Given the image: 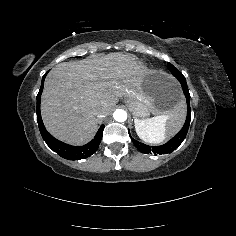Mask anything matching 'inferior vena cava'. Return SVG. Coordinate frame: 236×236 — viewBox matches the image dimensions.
<instances>
[{
    "mask_svg": "<svg viewBox=\"0 0 236 236\" xmlns=\"http://www.w3.org/2000/svg\"><path fill=\"white\" fill-rule=\"evenodd\" d=\"M94 115H96V116H100V110L95 109V111H94Z\"/></svg>",
    "mask_w": 236,
    "mask_h": 236,
    "instance_id": "inferior-vena-cava-1",
    "label": "inferior vena cava"
}]
</instances>
